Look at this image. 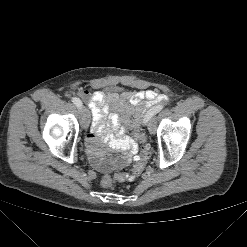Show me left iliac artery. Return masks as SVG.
<instances>
[{
	"label": "left iliac artery",
	"instance_id": "1",
	"mask_svg": "<svg viewBox=\"0 0 247 247\" xmlns=\"http://www.w3.org/2000/svg\"><path fill=\"white\" fill-rule=\"evenodd\" d=\"M163 108H164L163 105H157V106L152 107L149 111H147L146 115L144 116V123H146L155 114L160 112Z\"/></svg>",
	"mask_w": 247,
	"mask_h": 247
}]
</instances>
